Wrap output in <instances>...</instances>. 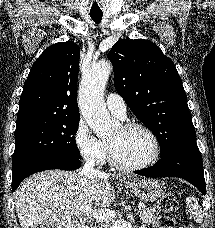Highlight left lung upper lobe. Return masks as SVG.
Wrapping results in <instances>:
<instances>
[{"mask_svg":"<svg viewBox=\"0 0 215 228\" xmlns=\"http://www.w3.org/2000/svg\"><path fill=\"white\" fill-rule=\"evenodd\" d=\"M108 57L116 90L134 115L156 135L161 157L195 140L182 80L172 60L155 43L120 40Z\"/></svg>","mask_w":215,"mask_h":228,"instance_id":"left-lung-upper-lobe-1","label":"left lung upper lobe"}]
</instances>
